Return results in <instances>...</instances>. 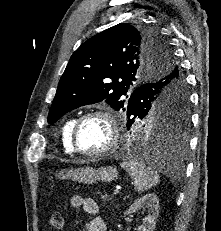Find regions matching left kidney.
I'll list each match as a JSON object with an SVG mask.
<instances>
[{"label":"left kidney","instance_id":"1","mask_svg":"<svg viewBox=\"0 0 221 231\" xmlns=\"http://www.w3.org/2000/svg\"><path fill=\"white\" fill-rule=\"evenodd\" d=\"M147 209L148 215L145 222L138 227V231H153L159 216V200L154 193L146 194L145 196L135 200L129 209L124 214L136 213L140 209Z\"/></svg>","mask_w":221,"mask_h":231}]
</instances>
